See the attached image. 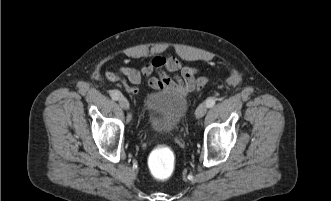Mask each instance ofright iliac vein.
Instances as JSON below:
<instances>
[{
	"label": "right iliac vein",
	"mask_w": 331,
	"mask_h": 201,
	"mask_svg": "<svg viewBox=\"0 0 331 201\" xmlns=\"http://www.w3.org/2000/svg\"><path fill=\"white\" fill-rule=\"evenodd\" d=\"M119 105L124 110H128L129 109V106H130L128 100L125 97H121L119 99Z\"/></svg>",
	"instance_id": "1"
}]
</instances>
